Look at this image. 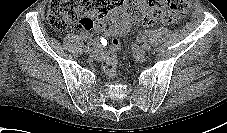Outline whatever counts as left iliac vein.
Instances as JSON below:
<instances>
[{"label": "left iliac vein", "mask_w": 227, "mask_h": 133, "mask_svg": "<svg viewBox=\"0 0 227 133\" xmlns=\"http://www.w3.org/2000/svg\"><path fill=\"white\" fill-rule=\"evenodd\" d=\"M134 54L136 58L143 59L146 54V51L144 48H138V49H135Z\"/></svg>", "instance_id": "obj_1"}]
</instances>
